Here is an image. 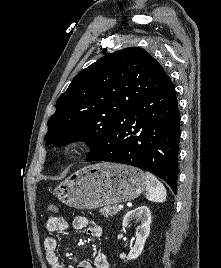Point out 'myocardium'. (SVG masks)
Instances as JSON below:
<instances>
[{"label": "myocardium", "instance_id": "1", "mask_svg": "<svg viewBox=\"0 0 221 268\" xmlns=\"http://www.w3.org/2000/svg\"><path fill=\"white\" fill-rule=\"evenodd\" d=\"M84 146L85 144L82 140L73 141L66 147V154L68 156H75L83 150Z\"/></svg>", "mask_w": 221, "mask_h": 268}]
</instances>
